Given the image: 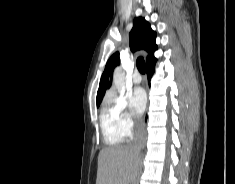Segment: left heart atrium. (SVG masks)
<instances>
[{"instance_id":"39dd6f15","label":"left heart atrium","mask_w":235,"mask_h":184,"mask_svg":"<svg viewBox=\"0 0 235 184\" xmlns=\"http://www.w3.org/2000/svg\"><path fill=\"white\" fill-rule=\"evenodd\" d=\"M147 102L146 93L142 88H135L129 98L130 108L132 114L136 118H140L145 109Z\"/></svg>"}]
</instances>
